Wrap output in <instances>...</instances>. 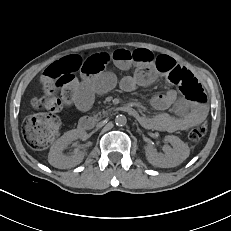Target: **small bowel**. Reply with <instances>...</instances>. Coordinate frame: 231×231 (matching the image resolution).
<instances>
[{
	"instance_id": "1",
	"label": "small bowel",
	"mask_w": 231,
	"mask_h": 231,
	"mask_svg": "<svg viewBox=\"0 0 231 231\" xmlns=\"http://www.w3.org/2000/svg\"><path fill=\"white\" fill-rule=\"evenodd\" d=\"M59 62L65 64L70 71L79 72L80 79L73 74L70 85L71 99L81 110H87L96 94H103L113 89L117 84L125 91H133L138 86H146L155 81L158 76L169 79L177 70H186L169 56L154 57L147 49H117L97 53L75 54L67 56ZM109 64H114L121 70L134 67L132 75L118 81L116 75L106 70ZM190 72V71H188ZM170 80V79H169ZM153 106L161 112L154 117H139L140 122L148 128L175 132L186 130L202 123L208 114L205 102L179 97L174 90L155 96ZM171 110L172 113H167Z\"/></svg>"
}]
</instances>
